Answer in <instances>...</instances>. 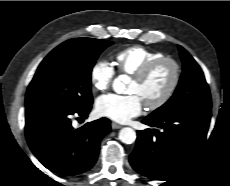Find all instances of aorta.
<instances>
[{"label":"aorta","instance_id":"1","mask_svg":"<svg viewBox=\"0 0 230 186\" xmlns=\"http://www.w3.org/2000/svg\"><path fill=\"white\" fill-rule=\"evenodd\" d=\"M125 77L119 76L113 83L116 92H122L124 88ZM119 139L125 144H132L136 140V132L130 127H124L119 132Z\"/></svg>","mask_w":230,"mask_h":186}]
</instances>
